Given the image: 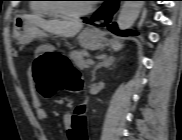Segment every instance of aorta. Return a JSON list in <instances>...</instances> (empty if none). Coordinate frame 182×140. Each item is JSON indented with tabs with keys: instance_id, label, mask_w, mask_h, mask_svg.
I'll return each mask as SVG.
<instances>
[{
	"instance_id": "aorta-1",
	"label": "aorta",
	"mask_w": 182,
	"mask_h": 140,
	"mask_svg": "<svg viewBox=\"0 0 182 140\" xmlns=\"http://www.w3.org/2000/svg\"><path fill=\"white\" fill-rule=\"evenodd\" d=\"M144 1H124L117 19L120 30H127L132 27L139 16Z\"/></svg>"
}]
</instances>
